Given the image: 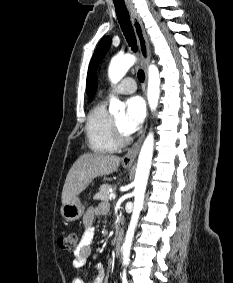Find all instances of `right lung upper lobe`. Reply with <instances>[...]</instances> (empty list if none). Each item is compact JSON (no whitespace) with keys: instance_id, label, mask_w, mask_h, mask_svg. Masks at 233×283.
I'll use <instances>...</instances> for the list:
<instances>
[{"instance_id":"cb5924a9","label":"right lung upper lobe","mask_w":233,"mask_h":283,"mask_svg":"<svg viewBox=\"0 0 233 283\" xmlns=\"http://www.w3.org/2000/svg\"><path fill=\"white\" fill-rule=\"evenodd\" d=\"M96 89H97V82H96V76H94V80H93V83H92V86H91V92H90V101H91L92 97L94 96Z\"/></svg>"}]
</instances>
